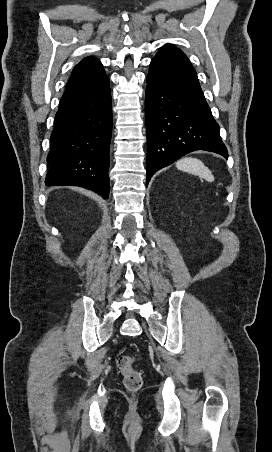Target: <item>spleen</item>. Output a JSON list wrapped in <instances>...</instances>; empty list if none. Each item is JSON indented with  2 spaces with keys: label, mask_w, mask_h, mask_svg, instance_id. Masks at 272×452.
<instances>
[{
  "label": "spleen",
  "mask_w": 272,
  "mask_h": 452,
  "mask_svg": "<svg viewBox=\"0 0 272 452\" xmlns=\"http://www.w3.org/2000/svg\"><path fill=\"white\" fill-rule=\"evenodd\" d=\"M176 167L181 171L198 175L209 182L214 181V176L212 175V172L203 164L202 161L196 158L192 157L182 158L177 161Z\"/></svg>",
  "instance_id": "1"
}]
</instances>
